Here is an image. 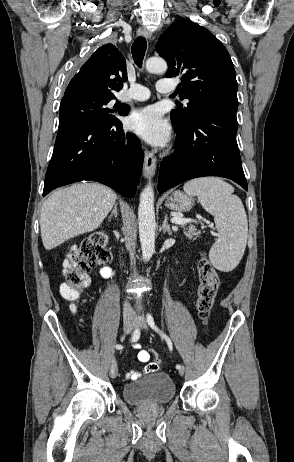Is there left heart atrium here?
<instances>
[{
  "label": "left heart atrium",
  "instance_id": "obj_1",
  "mask_svg": "<svg viewBox=\"0 0 294 462\" xmlns=\"http://www.w3.org/2000/svg\"><path fill=\"white\" fill-rule=\"evenodd\" d=\"M129 128L146 142L162 146L170 137V126L156 106L135 111L128 120Z\"/></svg>",
  "mask_w": 294,
  "mask_h": 462
}]
</instances>
